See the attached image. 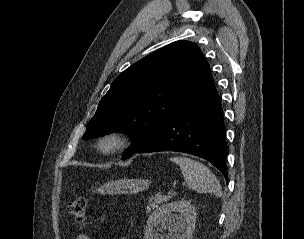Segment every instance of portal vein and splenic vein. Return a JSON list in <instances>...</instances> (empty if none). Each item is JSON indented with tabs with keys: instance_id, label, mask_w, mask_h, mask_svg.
<instances>
[{
	"instance_id": "obj_1",
	"label": "portal vein and splenic vein",
	"mask_w": 304,
	"mask_h": 239,
	"mask_svg": "<svg viewBox=\"0 0 304 239\" xmlns=\"http://www.w3.org/2000/svg\"><path fill=\"white\" fill-rule=\"evenodd\" d=\"M170 194L175 195L176 193H175V192H172V193H170Z\"/></svg>"
}]
</instances>
